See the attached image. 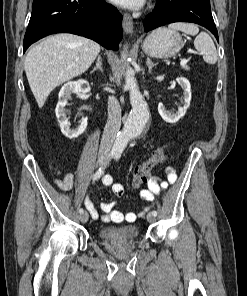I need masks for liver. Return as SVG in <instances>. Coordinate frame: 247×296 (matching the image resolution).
<instances>
[{"label":"liver","instance_id":"obj_1","mask_svg":"<svg viewBox=\"0 0 247 296\" xmlns=\"http://www.w3.org/2000/svg\"><path fill=\"white\" fill-rule=\"evenodd\" d=\"M99 52L95 41L69 33L50 36L32 47L24 68L39 108L55 87L87 71Z\"/></svg>","mask_w":247,"mask_h":296}]
</instances>
